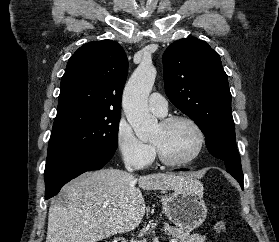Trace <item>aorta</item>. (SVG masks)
<instances>
[{"mask_svg":"<svg viewBox=\"0 0 279 242\" xmlns=\"http://www.w3.org/2000/svg\"><path fill=\"white\" fill-rule=\"evenodd\" d=\"M156 69L141 63L130 77L123 93V109L136 136L148 141L158 127L157 119L149 113L147 99L155 82Z\"/></svg>","mask_w":279,"mask_h":242,"instance_id":"obj_1","label":"aorta"}]
</instances>
